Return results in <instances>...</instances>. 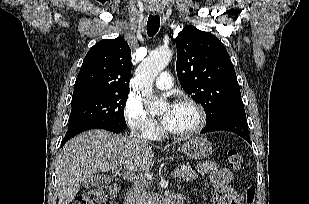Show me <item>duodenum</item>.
I'll list each match as a JSON object with an SVG mask.
<instances>
[{
  "label": "duodenum",
  "mask_w": 309,
  "mask_h": 204,
  "mask_svg": "<svg viewBox=\"0 0 309 204\" xmlns=\"http://www.w3.org/2000/svg\"><path fill=\"white\" fill-rule=\"evenodd\" d=\"M128 199H129V196L127 195V196H125V202H127L128 201Z\"/></svg>",
  "instance_id": "duodenum-1"
}]
</instances>
